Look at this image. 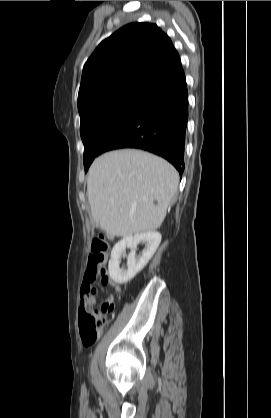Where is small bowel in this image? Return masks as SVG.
I'll list each match as a JSON object with an SVG mask.
<instances>
[{
    "label": "small bowel",
    "mask_w": 271,
    "mask_h": 418,
    "mask_svg": "<svg viewBox=\"0 0 271 418\" xmlns=\"http://www.w3.org/2000/svg\"><path fill=\"white\" fill-rule=\"evenodd\" d=\"M104 285H107V286H109V287H111V288H113L115 291H119V286L116 284V283H114V282H112L111 280H108L107 282H105V283H103ZM88 288H92L91 286H90V284L88 283V279H87V273H85V276H84V282H83V284H82V287H81V295L83 296V294L85 293V291L88 289ZM95 302H96V300L95 299H93V300H91L89 303H88V305L90 306V307H92L94 304H95ZM85 306V304H84V302H83V306L82 307H84Z\"/></svg>",
    "instance_id": "1"
}]
</instances>
